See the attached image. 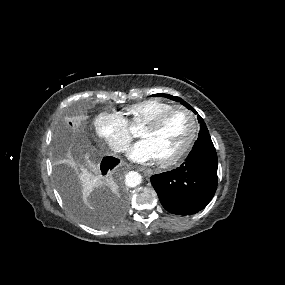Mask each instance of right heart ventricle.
<instances>
[{
    "instance_id": "e07e8e85",
    "label": "right heart ventricle",
    "mask_w": 285,
    "mask_h": 285,
    "mask_svg": "<svg viewBox=\"0 0 285 285\" xmlns=\"http://www.w3.org/2000/svg\"><path fill=\"white\" fill-rule=\"evenodd\" d=\"M173 105L161 99H147L135 103L125 109L127 117L126 123H145Z\"/></svg>"
}]
</instances>
